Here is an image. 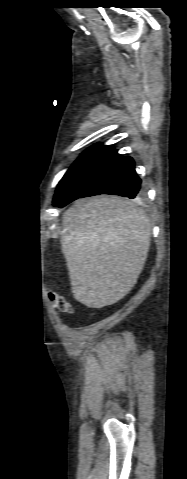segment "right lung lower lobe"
I'll use <instances>...</instances> for the list:
<instances>
[{"label": "right lung lower lobe", "mask_w": 187, "mask_h": 479, "mask_svg": "<svg viewBox=\"0 0 187 479\" xmlns=\"http://www.w3.org/2000/svg\"><path fill=\"white\" fill-rule=\"evenodd\" d=\"M141 192V179L135 172L131 157H123L113 150L77 178L54 202L63 207L71 201L99 194H114L134 199Z\"/></svg>", "instance_id": "obj_1"}]
</instances>
